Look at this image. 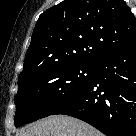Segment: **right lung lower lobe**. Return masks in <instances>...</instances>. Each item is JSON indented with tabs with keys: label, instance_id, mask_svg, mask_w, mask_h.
<instances>
[{
	"label": "right lung lower lobe",
	"instance_id": "98d812e1",
	"mask_svg": "<svg viewBox=\"0 0 136 136\" xmlns=\"http://www.w3.org/2000/svg\"><path fill=\"white\" fill-rule=\"evenodd\" d=\"M56 114L81 119L107 136H135L136 38L99 59L89 85Z\"/></svg>",
	"mask_w": 136,
	"mask_h": 136
}]
</instances>
